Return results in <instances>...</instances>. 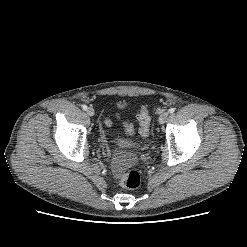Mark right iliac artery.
<instances>
[{"instance_id": "obj_1", "label": "right iliac artery", "mask_w": 247, "mask_h": 247, "mask_svg": "<svg viewBox=\"0 0 247 247\" xmlns=\"http://www.w3.org/2000/svg\"><path fill=\"white\" fill-rule=\"evenodd\" d=\"M82 109L83 110H87V106L84 104V105H82Z\"/></svg>"}]
</instances>
